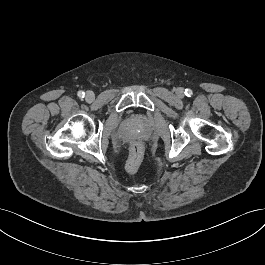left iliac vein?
Instances as JSON below:
<instances>
[{"label":"left iliac vein","instance_id":"1","mask_svg":"<svg viewBox=\"0 0 265 265\" xmlns=\"http://www.w3.org/2000/svg\"><path fill=\"white\" fill-rule=\"evenodd\" d=\"M177 94H178V96H179V97H182V96H183V94H184V91H183V89H181V88H178V89H177Z\"/></svg>","mask_w":265,"mask_h":265}]
</instances>
